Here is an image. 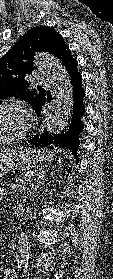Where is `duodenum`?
Instances as JSON below:
<instances>
[{
    "label": "duodenum",
    "instance_id": "1",
    "mask_svg": "<svg viewBox=\"0 0 113 279\" xmlns=\"http://www.w3.org/2000/svg\"><path fill=\"white\" fill-rule=\"evenodd\" d=\"M15 212V216L17 217V218H19V217H21L22 216V214H23V211H24V208H23V205L22 204H16L15 205V210H14Z\"/></svg>",
    "mask_w": 113,
    "mask_h": 279
}]
</instances>
